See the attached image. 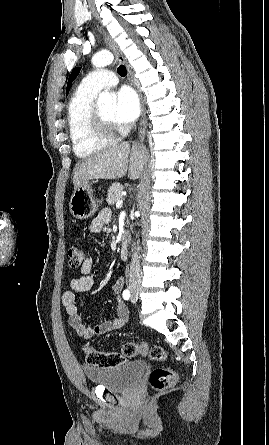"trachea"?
Masks as SVG:
<instances>
[{
	"label": "trachea",
	"instance_id": "1",
	"mask_svg": "<svg viewBox=\"0 0 269 445\" xmlns=\"http://www.w3.org/2000/svg\"><path fill=\"white\" fill-rule=\"evenodd\" d=\"M118 74H119L120 76H122V77H124V76L127 75V70H126V67H125L124 65H120V66L118 67Z\"/></svg>",
	"mask_w": 269,
	"mask_h": 445
}]
</instances>
